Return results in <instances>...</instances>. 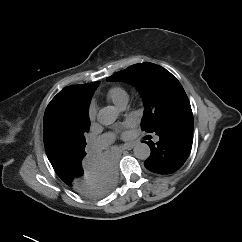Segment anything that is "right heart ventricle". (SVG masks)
<instances>
[{
    "mask_svg": "<svg viewBox=\"0 0 242 242\" xmlns=\"http://www.w3.org/2000/svg\"><path fill=\"white\" fill-rule=\"evenodd\" d=\"M106 97L118 107L122 102L128 101L127 91L121 86H114L110 88L106 94Z\"/></svg>",
    "mask_w": 242,
    "mask_h": 242,
    "instance_id": "e07e8e85",
    "label": "right heart ventricle"
}]
</instances>
